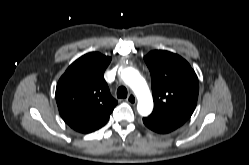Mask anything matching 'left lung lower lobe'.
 I'll list each match as a JSON object with an SVG mask.
<instances>
[{
	"label": "left lung lower lobe",
	"mask_w": 249,
	"mask_h": 165,
	"mask_svg": "<svg viewBox=\"0 0 249 165\" xmlns=\"http://www.w3.org/2000/svg\"><path fill=\"white\" fill-rule=\"evenodd\" d=\"M143 122L149 129L161 134L172 132L181 126L173 122L152 118L150 116L143 118Z\"/></svg>",
	"instance_id": "1"
}]
</instances>
